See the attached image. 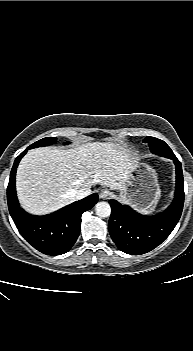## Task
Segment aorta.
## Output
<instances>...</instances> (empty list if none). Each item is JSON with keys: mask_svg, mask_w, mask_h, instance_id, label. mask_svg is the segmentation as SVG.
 Instances as JSON below:
<instances>
[{"mask_svg": "<svg viewBox=\"0 0 193 351\" xmlns=\"http://www.w3.org/2000/svg\"><path fill=\"white\" fill-rule=\"evenodd\" d=\"M96 215L101 218L109 217L111 214V207L109 203L101 201L95 205Z\"/></svg>", "mask_w": 193, "mask_h": 351, "instance_id": "obj_1", "label": "aorta"}]
</instances>
